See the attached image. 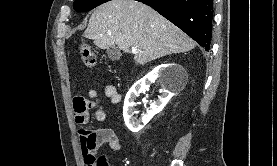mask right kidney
Instances as JSON below:
<instances>
[{"instance_id": "obj_1", "label": "right kidney", "mask_w": 277, "mask_h": 166, "mask_svg": "<svg viewBox=\"0 0 277 166\" xmlns=\"http://www.w3.org/2000/svg\"><path fill=\"white\" fill-rule=\"evenodd\" d=\"M177 73L172 67V64L161 65L143 77L141 80L136 82L131 89L128 91L124 101L123 107V117L126 126L132 132H138L143 128V125L147 124L149 120L161 112L166 104L169 102L173 94L166 90L167 87H170ZM163 78V94L159 96V99L151 104L150 110L147 112V115L142 118L137 119L134 114V106H136V98L143 91H146L149 88L150 83L156 78Z\"/></svg>"}]
</instances>
